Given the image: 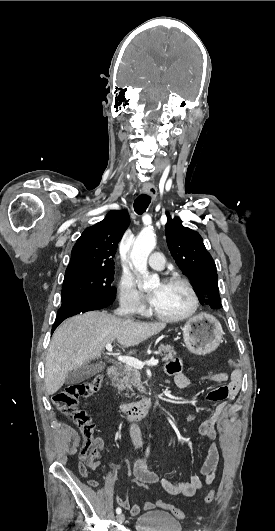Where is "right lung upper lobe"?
Listing matches in <instances>:
<instances>
[{"label": "right lung upper lobe", "instance_id": "1", "mask_svg": "<svg viewBox=\"0 0 275 531\" xmlns=\"http://www.w3.org/2000/svg\"><path fill=\"white\" fill-rule=\"evenodd\" d=\"M129 223L126 210H111L101 222L86 228L72 249L65 273L83 269H114L116 249Z\"/></svg>", "mask_w": 275, "mask_h": 531}]
</instances>
